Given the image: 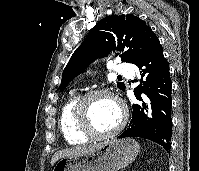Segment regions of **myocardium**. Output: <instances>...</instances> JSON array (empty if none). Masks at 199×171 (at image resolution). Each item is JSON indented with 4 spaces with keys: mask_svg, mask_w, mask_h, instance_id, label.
I'll list each match as a JSON object with an SVG mask.
<instances>
[{
    "mask_svg": "<svg viewBox=\"0 0 199 171\" xmlns=\"http://www.w3.org/2000/svg\"><path fill=\"white\" fill-rule=\"evenodd\" d=\"M108 97L115 101L120 109V120L115 128L107 132H98L93 128L90 119V103L97 97ZM75 117L80 132L91 139H106L119 134L125 127L128 119V110L124 102L107 89H96L80 97L75 108Z\"/></svg>",
    "mask_w": 199,
    "mask_h": 171,
    "instance_id": "1",
    "label": "myocardium"
}]
</instances>
